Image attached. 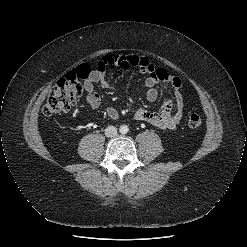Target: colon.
Masks as SVG:
<instances>
[{
	"label": "colon",
	"instance_id": "5ec220e1",
	"mask_svg": "<svg viewBox=\"0 0 247 247\" xmlns=\"http://www.w3.org/2000/svg\"><path fill=\"white\" fill-rule=\"evenodd\" d=\"M91 70L88 65H81L60 79L51 90L43 107L45 115L67 112L73 108L83 96L81 81L86 79ZM202 124V118L197 109H193L188 117V125L197 128Z\"/></svg>",
	"mask_w": 247,
	"mask_h": 247
}]
</instances>
